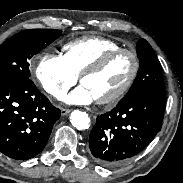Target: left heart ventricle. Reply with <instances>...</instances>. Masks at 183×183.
<instances>
[{
	"label": "left heart ventricle",
	"instance_id": "left-heart-ventricle-1",
	"mask_svg": "<svg viewBox=\"0 0 183 183\" xmlns=\"http://www.w3.org/2000/svg\"><path fill=\"white\" fill-rule=\"evenodd\" d=\"M132 67V58L128 54H120L100 72L85 77L82 85L89 89L96 100L106 98L125 84Z\"/></svg>",
	"mask_w": 183,
	"mask_h": 183
}]
</instances>
